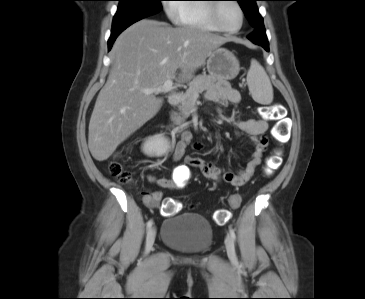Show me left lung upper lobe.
I'll list each match as a JSON object with an SVG mask.
<instances>
[{
  "mask_svg": "<svg viewBox=\"0 0 365 299\" xmlns=\"http://www.w3.org/2000/svg\"><path fill=\"white\" fill-rule=\"evenodd\" d=\"M239 2L242 10L244 11L250 25L255 29L263 27V19L258 13L256 1L258 0H236Z\"/></svg>",
  "mask_w": 365,
  "mask_h": 299,
  "instance_id": "left-lung-upper-lobe-1",
  "label": "left lung upper lobe"
}]
</instances>
